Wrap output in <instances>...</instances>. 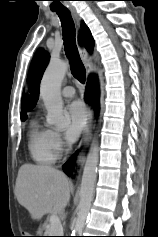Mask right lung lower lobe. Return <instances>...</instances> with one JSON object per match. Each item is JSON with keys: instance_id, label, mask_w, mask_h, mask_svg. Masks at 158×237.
<instances>
[{"instance_id": "right-lung-lower-lobe-1", "label": "right lung lower lobe", "mask_w": 158, "mask_h": 237, "mask_svg": "<svg viewBox=\"0 0 158 237\" xmlns=\"http://www.w3.org/2000/svg\"><path fill=\"white\" fill-rule=\"evenodd\" d=\"M98 96H99V89H98V83L95 77H90L86 86V93H85V99L89 103H94L95 104V109H98ZM76 154L75 153L70 160H68L64 165H63V171L67 174L70 175L72 169L74 168L75 164V159H76Z\"/></svg>"}]
</instances>
